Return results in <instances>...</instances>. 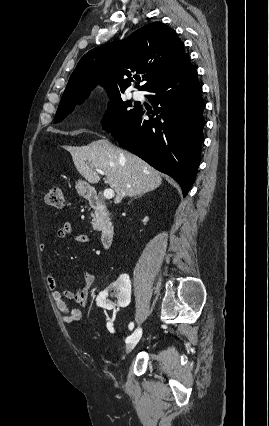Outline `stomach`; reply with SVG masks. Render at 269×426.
Instances as JSON below:
<instances>
[{
    "label": "stomach",
    "mask_w": 269,
    "mask_h": 426,
    "mask_svg": "<svg viewBox=\"0 0 269 426\" xmlns=\"http://www.w3.org/2000/svg\"><path fill=\"white\" fill-rule=\"evenodd\" d=\"M78 193L83 197H89L93 192V187L90 186L86 181L79 180L76 183Z\"/></svg>",
    "instance_id": "0dacf381"
}]
</instances>
